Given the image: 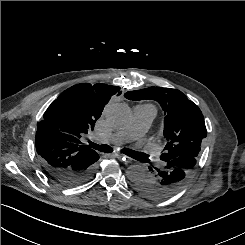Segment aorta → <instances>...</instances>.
Masks as SVG:
<instances>
[{
	"instance_id": "aorta-1",
	"label": "aorta",
	"mask_w": 245,
	"mask_h": 245,
	"mask_svg": "<svg viewBox=\"0 0 245 245\" xmlns=\"http://www.w3.org/2000/svg\"><path fill=\"white\" fill-rule=\"evenodd\" d=\"M104 116L110 126L114 128H123L130 122L131 110L126 104L110 103L104 110ZM126 175L130 181L136 182L145 177L147 172L146 169L140 165H131L127 169Z\"/></svg>"
}]
</instances>
